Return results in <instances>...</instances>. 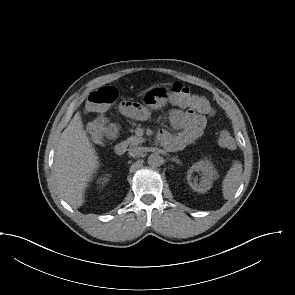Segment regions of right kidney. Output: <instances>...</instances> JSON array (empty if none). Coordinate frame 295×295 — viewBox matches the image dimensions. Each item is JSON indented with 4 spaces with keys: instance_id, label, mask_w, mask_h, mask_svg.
Returning a JSON list of instances; mask_svg holds the SVG:
<instances>
[{
    "instance_id": "1",
    "label": "right kidney",
    "mask_w": 295,
    "mask_h": 295,
    "mask_svg": "<svg viewBox=\"0 0 295 295\" xmlns=\"http://www.w3.org/2000/svg\"><path fill=\"white\" fill-rule=\"evenodd\" d=\"M108 180L109 179L107 177H104V178L100 179L99 182H101V184L104 185V184H106L108 182Z\"/></svg>"
}]
</instances>
